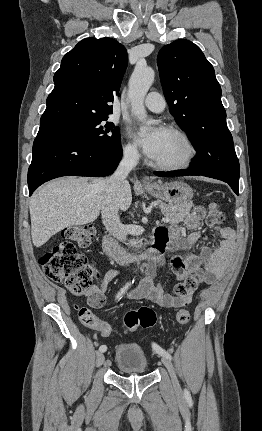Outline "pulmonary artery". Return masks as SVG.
I'll list each match as a JSON object with an SVG mask.
<instances>
[{
	"instance_id": "obj_1",
	"label": "pulmonary artery",
	"mask_w": 262,
	"mask_h": 431,
	"mask_svg": "<svg viewBox=\"0 0 262 431\" xmlns=\"http://www.w3.org/2000/svg\"><path fill=\"white\" fill-rule=\"evenodd\" d=\"M144 105L151 111L159 113L165 108V100L162 95L158 92H150L145 100Z\"/></svg>"
}]
</instances>
